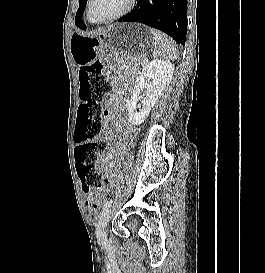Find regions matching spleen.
<instances>
[{
    "label": "spleen",
    "instance_id": "spleen-1",
    "mask_svg": "<svg viewBox=\"0 0 265 273\" xmlns=\"http://www.w3.org/2000/svg\"><path fill=\"white\" fill-rule=\"evenodd\" d=\"M150 33L154 40V57L164 60H174L177 58V50L175 44L164 33L150 29Z\"/></svg>",
    "mask_w": 265,
    "mask_h": 273
}]
</instances>
